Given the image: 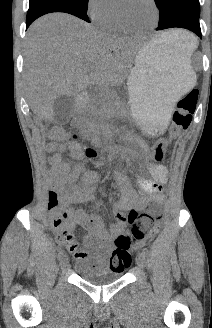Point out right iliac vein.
<instances>
[{"label": "right iliac vein", "instance_id": "63e3f726", "mask_svg": "<svg viewBox=\"0 0 212 328\" xmlns=\"http://www.w3.org/2000/svg\"><path fill=\"white\" fill-rule=\"evenodd\" d=\"M60 265L62 269H66L68 267V260L66 258V256H64L61 260H60Z\"/></svg>", "mask_w": 212, "mask_h": 328}]
</instances>
